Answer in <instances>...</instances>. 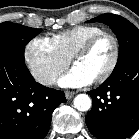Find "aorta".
I'll list each match as a JSON object with an SVG mask.
<instances>
[{"instance_id": "762f6f07", "label": "aorta", "mask_w": 139, "mask_h": 139, "mask_svg": "<svg viewBox=\"0 0 139 139\" xmlns=\"http://www.w3.org/2000/svg\"><path fill=\"white\" fill-rule=\"evenodd\" d=\"M73 104L79 111H88L92 106V101L87 94H78L74 98Z\"/></svg>"}]
</instances>
